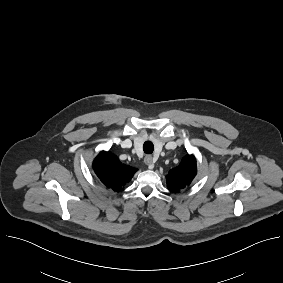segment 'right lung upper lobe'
<instances>
[{
	"mask_svg": "<svg viewBox=\"0 0 283 283\" xmlns=\"http://www.w3.org/2000/svg\"><path fill=\"white\" fill-rule=\"evenodd\" d=\"M93 169L101 182L114 191L122 190L137 171V169L122 164L114 154L105 151L96 157Z\"/></svg>",
	"mask_w": 283,
	"mask_h": 283,
	"instance_id": "obj_1",
	"label": "right lung upper lobe"
}]
</instances>
